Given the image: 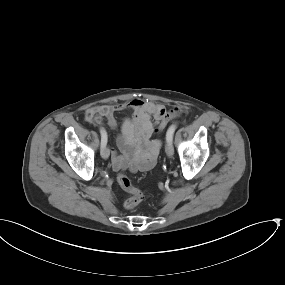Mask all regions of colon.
<instances>
[{
  "mask_svg": "<svg viewBox=\"0 0 285 285\" xmlns=\"http://www.w3.org/2000/svg\"><path fill=\"white\" fill-rule=\"evenodd\" d=\"M180 113L179 107H174L172 109L166 110L164 107H161L157 110L158 119V129L164 128L169 121L172 119L178 117ZM117 182L120 185L121 188H123L125 191L130 193V197L125 201V208L130 210L133 209L137 204H139L143 199L142 192L135 187L130 178L127 176L126 173L120 172L117 175Z\"/></svg>",
  "mask_w": 285,
  "mask_h": 285,
  "instance_id": "1",
  "label": "colon"
}]
</instances>
